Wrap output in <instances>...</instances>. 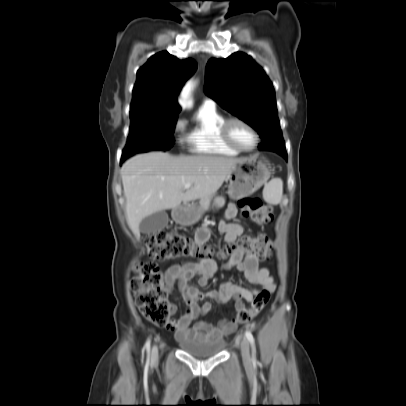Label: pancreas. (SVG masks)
I'll use <instances>...</instances> for the list:
<instances>
[{
    "mask_svg": "<svg viewBox=\"0 0 406 406\" xmlns=\"http://www.w3.org/2000/svg\"><path fill=\"white\" fill-rule=\"evenodd\" d=\"M211 197L208 198H202L199 201V205L201 207V209L203 211H208L210 208V204H211ZM216 207H223L225 204V198L222 196H218L214 198V203H213Z\"/></svg>",
    "mask_w": 406,
    "mask_h": 406,
    "instance_id": "cf45deb5",
    "label": "pancreas"
}]
</instances>
